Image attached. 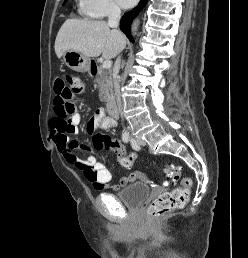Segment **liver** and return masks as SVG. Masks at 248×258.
Wrapping results in <instances>:
<instances>
[{"label":"liver","mask_w":248,"mask_h":258,"mask_svg":"<svg viewBox=\"0 0 248 258\" xmlns=\"http://www.w3.org/2000/svg\"><path fill=\"white\" fill-rule=\"evenodd\" d=\"M125 42L124 35L111 30L105 21L68 19L57 34L55 53L58 58L66 51H76L88 58L102 54L110 60L123 49Z\"/></svg>","instance_id":"obj_1"}]
</instances>
